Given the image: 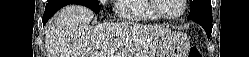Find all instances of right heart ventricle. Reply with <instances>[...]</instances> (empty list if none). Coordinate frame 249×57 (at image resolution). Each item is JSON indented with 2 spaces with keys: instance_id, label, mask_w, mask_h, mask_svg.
Wrapping results in <instances>:
<instances>
[{
  "instance_id": "obj_1",
  "label": "right heart ventricle",
  "mask_w": 249,
  "mask_h": 57,
  "mask_svg": "<svg viewBox=\"0 0 249 57\" xmlns=\"http://www.w3.org/2000/svg\"><path fill=\"white\" fill-rule=\"evenodd\" d=\"M151 0H119L116 11L128 21H154L158 16L150 8Z\"/></svg>"
}]
</instances>
